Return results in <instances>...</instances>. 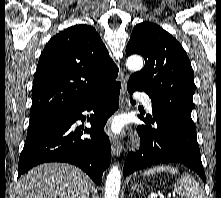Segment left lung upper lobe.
I'll return each instance as SVG.
<instances>
[{"mask_svg":"<svg viewBox=\"0 0 221 198\" xmlns=\"http://www.w3.org/2000/svg\"><path fill=\"white\" fill-rule=\"evenodd\" d=\"M126 53L145 59L144 68L130 76L128 85L150 96L153 113L195 128L191 119L194 75L180 43L160 26L143 22L134 27Z\"/></svg>","mask_w":221,"mask_h":198,"instance_id":"left-lung-upper-lobe-1","label":"left lung upper lobe"}]
</instances>
